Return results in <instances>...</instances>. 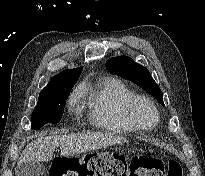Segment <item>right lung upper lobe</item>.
<instances>
[{
    "label": "right lung upper lobe",
    "instance_id": "1",
    "mask_svg": "<svg viewBox=\"0 0 205 176\" xmlns=\"http://www.w3.org/2000/svg\"><path fill=\"white\" fill-rule=\"evenodd\" d=\"M83 68L67 69L51 78L48 85L40 92L39 96L55 93L59 90L71 88L77 82Z\"/></svg>",
    "mask_w": 205,
    "mask_h": 176
}]
</instances>
